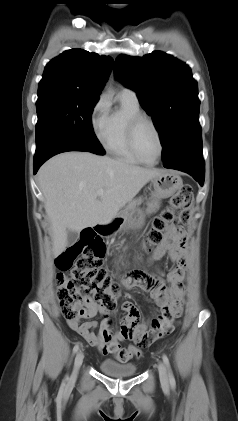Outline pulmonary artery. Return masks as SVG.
<instances>
[{
  "instance_id": "1",
  "label": "pulmonary artery",
  "mask_w": 238,
  "mask_h": 421,
  "mask_svg": "<svg viewBox=\"0 0 238 421\" xmlns=\"http://www.w3.org/2000/svg\"><path fill=\"white\" fill-rule=\"evenodd\" d=\"M121 95L126 96L132 100L138 101L137 95L136 93L129 89V88H123L120 92Z\"/></svg>"
}]
</instances>
